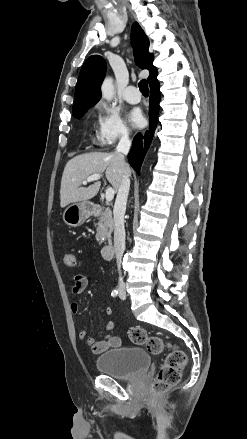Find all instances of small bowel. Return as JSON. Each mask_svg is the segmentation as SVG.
Listing matches in <instances>:
<instances>
[{"instance_id":"small-bowel-1","label":"small bowel","mask_w":247,"mask_h":439,"mask_svg":"<svg viewBox=\"0 0 247 439\" xmlns=\"http://www.w3.org/2000/svg\"><path fill=\"white\" fill-rule=\"evenodd\" d=\"M88 286V280L84 275L77 274L73 277V284L71 290L74 294H81ZM70 309L73 314L79 312V305L76 302L70 304ZM112 309L107 307L105 309V314L110 316ZM114 327V323L108 320L105 323L103 332H110ZM79 339L83 340L85 344L91 349L94 354H101L108 350L109 348L119 347L121 345V339L115 335L107 334L103 340L96 341L94 338L87 337V332L82 330L79 332Z\"/></svg>"}]
</instances>
